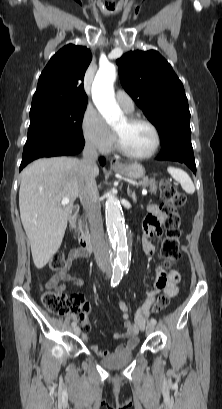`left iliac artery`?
Instances as JSON below:
<instances>
[{"instance_id": "left-iliac-artery-1", "label": "left iliac artery", "mask_w": 222, "mask_h": 409, "mask_svg": "<svg viewBox=\"0 0 222 409\" xmlns=\"http://www.w3.org/2000/svg\"><path fill=\"white\" fill-rule=\"evenodd\" d=\"M150 322H151L152 324H154V325H156V323H157L156 319H154V318H151Z\"/></svg>"}]
</instances>
